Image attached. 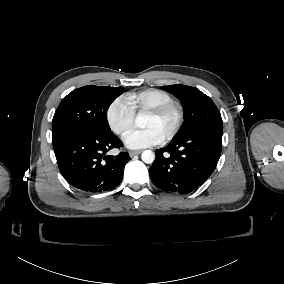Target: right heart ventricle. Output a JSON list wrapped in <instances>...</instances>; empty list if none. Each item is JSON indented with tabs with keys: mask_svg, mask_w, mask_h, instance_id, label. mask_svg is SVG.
I'll return each instance as SVG.
<instances>
[{
	"mask_svg": "<svg viewBox=\"0 0 284 284\" xmlns=\"http://www.w3.org/2000/svg\"><path fill=\"white\" fill-rule=\"evenodd\" d=\"M127 100L134 111H148L173 102V97L165 90L149 87L129 94Z\"/></svg>",
	"mask_w": 284,
	"mask_h": 284,
	"instance_id": "right-heart-ventricle-1",
	"label": "right heart ventricle"
}]
</instances>
